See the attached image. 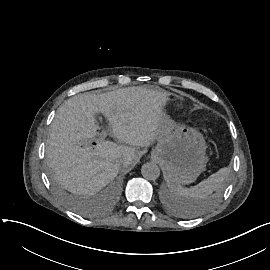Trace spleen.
<instances>
[{"instance_id":"3e777b00","label":"spleen","mask_w":270,"mask_h":270,"mask_svg":"<svg viewBox=\"0 0 270 270\" xmlns=\"http://www.w3.org/2000/svg\"><path fill=\"white\" fill-rule=\"evenodd\" d=\"M229 175L230 169L224 167L191 188H182L170 183H168V187L185 210L195 213L194 210H197L198 204L202 200H205L213 191L220 190L225 186Z\"/></svg>"}]
</instances>
